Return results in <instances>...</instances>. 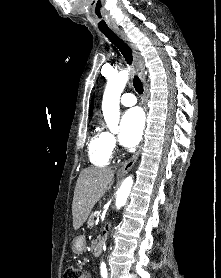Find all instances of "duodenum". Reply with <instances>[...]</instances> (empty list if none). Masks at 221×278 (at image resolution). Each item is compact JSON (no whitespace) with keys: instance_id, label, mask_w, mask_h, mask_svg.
<instances>
[{"instance_id":"duodenum-1","label":"duodenum","mask_w":221,"mask_h":278,"mask_svg":"<svg viewBox=\"0 0 221 278\" xmlns=\"http://www.w3.org/2000/svg\"><path fill=\"white\" fill-rule=\"evenodd\" d=\"M102 249H103V241H96L92 249L93 255L95 257L99 256L102 252Z\"/></svg>"}]
</instances>
